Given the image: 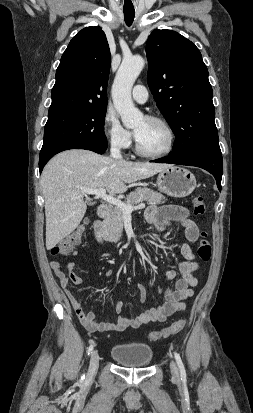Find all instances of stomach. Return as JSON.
<instances>
[{
	"instance_id": "stomach-1",
	"label": "stomach",
	"mask_w": 253,
	"mask_h": 413,
	"mask_svg": "<svg viewBox=\"0 0 253 413\" xmlns=\"http://www.w3.org/2000/svg\"><path fill=\"white\" fill-rule=\"evenodd\" d=\"M159 190L174 198L189 196L196 187L195 176L188 170L171 165L157 176Z\"/></svg>"
}]
</instances>
